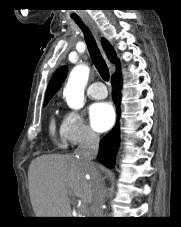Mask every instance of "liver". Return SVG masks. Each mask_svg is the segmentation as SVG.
<instances>
[{"mask_svg": "<svg viewBox=\"0 0 181 227\" xmlns=\"http://www.w3.org/2000/svg\"><path fill=\"white\" fill-rule=\"evenodd\" d=\"M92 173L93 170L74 155L48 154L35 158L29 166L28 181L36 217H71L74 196L90 204Z\"/></svg>", "mask_w": 181, "mask_h": 227, "instance_id": "liver-1", "label": "liver"}]
</instances>
